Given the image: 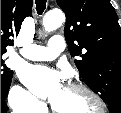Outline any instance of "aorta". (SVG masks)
I'll use <instances>...</instances> for the list:
<instances>
[{
	"instance_id": "aorta-1",
	"label": "aorta",
	"mask_w": 121,
	"mask_h": 113,
	"mask_svg": "<svg viewBox=\"0 0 121 113\" xmlns=\"http://www.w3.org/2000/svg\"><path fill=\"white\" fill-rule=\"evenodd\" d=\"M64 19L65 16L61 10L49 11L43 18V27L46 31H53L62 25Z\"/></svg>"
}]
</instances>
